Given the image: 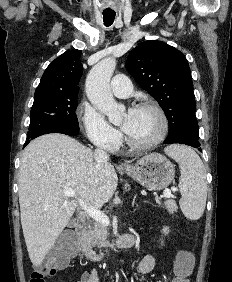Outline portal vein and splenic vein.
Wrapping results in <instances>:
<instances>
[{
	"label": "portal vein and splenic vein",
	"mask_w": 232,
	"mask_h": 282,
	"mask_svg": "<svg viewBox=\"0 0 232 282\" xmlns=\"http://www.w3.org/2000/svg\"><path fill=\"white\" fill-rule=\"evenodd\" d=\"M63 193L66 197H76L75 191L67 186H63ZM163 196L165 198H170L172 196V193L169 189H166L163 192ZM79 203L84 209V211L87 213V215H89L92 219H94L97 222L103 223L106 226L110 224L109 217L105 213L94 207L87 206L83 201H80Z\"/></svg>",
	"instance_id": "portal-vein-and-splenic-vein-1"
}]
</instances>
